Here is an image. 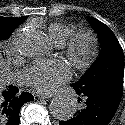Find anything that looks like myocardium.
<instances>
[{"mask_svg": "<svg viewBox=\"0 0 125 125\" xmlns=\"http://www.w3.org/2000/svg\"><path fill=\"white\" fill-rule=\"evenodd\" d=\"M64 53L71 65L78 70L89 68L99 54V40L95 33L80 30L64 44Z\"/></svg>", "mask_w": 125, "mask_h": 125, "instance_id": "f54148a6", "label": "myocardium"}]
</instances>
